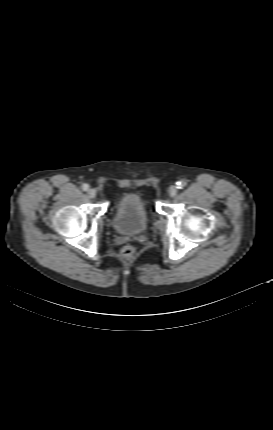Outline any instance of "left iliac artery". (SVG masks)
I'll return each mask as SVG.
<instances>
[{
	"label": "left iliac artery",
	"instance_id": "44dca946",
	"mask_svg": "<svg viewBox=\"0 0 273 430\" xmlns=\"http://www.w3.org/2000/svg\"><path fill=\"white\" fill-rule=\"evenodd\" d=\"M186 184L187 183L185 181H179L176 183L178 189L184 188L186 186Z\"/></svg>",
	"mask_w": 273,
	"mask_h": 430
}]
</instances>
